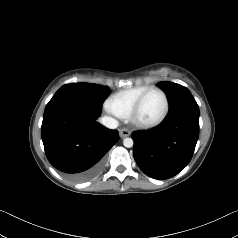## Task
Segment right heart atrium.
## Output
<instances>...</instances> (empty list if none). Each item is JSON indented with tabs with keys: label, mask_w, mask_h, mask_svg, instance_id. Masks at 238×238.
Masks as SVG:
<instances>
[{
	"label": "right heart atrium",
	"mask_w": 238,
	"mask_h": 238,
	"mask_svg": "<svg viewBox=\"0 0 238 238\" xmlns=\"http://www.w3.org/2000/svg\"><path fill=\"white\" fill-rule=\"evenodd\" d=\"M104 106H105V110H106L109 114L119 117L118 114L116 113V111L114 110V108H113V106H112V104H111V102H110L109 99L106 100Z\"/></svg>",
	"instance_id": "obj_1"
}]
</instances>
